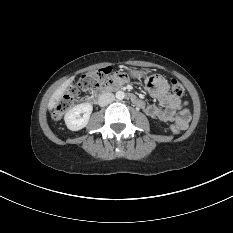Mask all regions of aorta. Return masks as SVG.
Instances as JSON below:
<instances>
[{"label":"aorta","instance_id":"obj_1","mask_svg":"<svg viewBox=\"0 0 233 233\" xmlns=\"http://www.w3.org/2000/svg\"><path fill=\"white\" fill-rule=\"evenodd\" d=\"M116 98L118 100H123L125 98V93L123 91H117L116 92Z\"/></svg>","mask_w":233,"mask_h":233}]
</instances>
